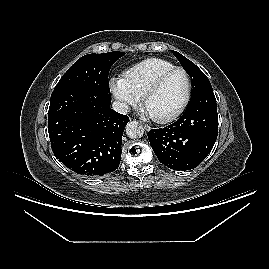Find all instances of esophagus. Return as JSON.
Instances as JSON below:
<instances>
[{"label": "esophagus", "mask_w": 269, "mask_h": 269, "mask_svg": "<svg viewBox=\"0 0 269 269\" xmlns=\"http://www.w3.org/2000/svg\"><path fill=\"white\" fill-rule=\"evenodd\" d=\"M143 126L145 128V130L149 131L151 129V127L145 123H143Z\"/></svg>", "instance_id": "obj_1"}]
</instances>
